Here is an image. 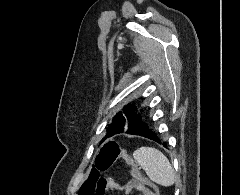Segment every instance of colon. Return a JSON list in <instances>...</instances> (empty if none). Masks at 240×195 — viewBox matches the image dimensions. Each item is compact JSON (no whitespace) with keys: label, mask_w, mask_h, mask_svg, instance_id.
<instances>
[{"label":"colon","mask_w":240,"mask_h":195,"mask_svg":"<svg viewBox=\"0 0 240 195\" xmlns=\"http://www.w3.org/2000/svg\"><path fill=\"white\" fill-rule=\"evenodd\" d=\"M118 159H124L128 166H133L131 170L140 183L143 184L146 182V177L143 175L140 168L135 165L136 162L131 155L128 153L121 154L119 145L111 139L106 140L102 144L100 151L97 153V168L108 170ZM82 187L83 191L79 190V195H105L107 192H112L118 189V185L114 180L104 177L97 169L90 171ZM150 189L155 193L159 188L154 184Z\"/></svg>","instance_id":"colon-1"}]
</instances>
